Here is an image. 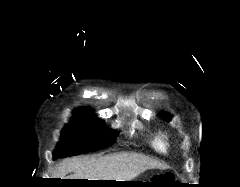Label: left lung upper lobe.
<instances>
[{
  "instance_id": "1",
  "label": "left lung upper lobe",
  "mask_w": 240,
  "mask_h": 187,
  "mask_svg": "<svg viewBox=\"0 0 240 187\" xmlns=\"http://www.w3.org/2000/svg\"><path fill=\"white\" fill-rule=\"evenodd\" d=\"M162 119L169 121L171 119V115L168 113H164L161 115Z\"/></svg>"
}]
</instances>
